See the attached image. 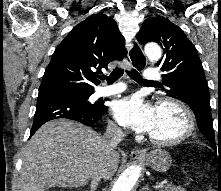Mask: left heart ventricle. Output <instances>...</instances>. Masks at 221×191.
Wrapping results in <instances>:
<instances>
[{"mask_svg": "<svg viewBox=\"0 0 221 191\" xmlns=\"http://www.w3.org/2000/svg\"><path fill=\"white\" fill-rule=\"evenodd\" d=\"M184 127L182 114L174 107L164 106L157 109V121L150 134L159 138L178 135Z\"/></svg>", "mask_w": 221, "mask_h": 191, "instance_id": "obj_1", "label": "left heart ventricle"}]
</instances>
